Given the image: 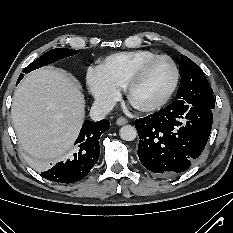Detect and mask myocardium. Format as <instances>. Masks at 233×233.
Wrapping results in <instances>:
<instances>
[{"label":"myocardium","instance_id":"f54148a6","mask_svg":"<svg viewBox=\"0 0 233 233\" xmlns=\"http://www.w3.org/2000/svg\"><path fill=\"white\" fill-rule=\"evenodd\" d=\"M159 59H167L172 67H173V72H174V76H173V80L171 82V85L169 86L168 90L165 92V94L156 102L146 105V106H136L134 105V107H136L138 110L143 111V112H151V111H155L159 108H161L162 106H164L169 99L171 98V96L173 95V93L175 92L178 82H179V78H180V73H179V69L178 66L176 64V62L174 61V59L172 57H170L169 55L166 54H157L153 57H150L146 60H144L143 62H141L135 69L134 71L130 74V76L127 78L125 84H124V93L126 98L130 101V91L132 89V87L137 83V81L142 77L144 71L146 70V68L154 61L159 60ZM131 102V101H130Z\"/></svg>","mask_w":233,"mask_h":233}]
</instances>
